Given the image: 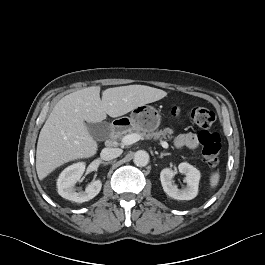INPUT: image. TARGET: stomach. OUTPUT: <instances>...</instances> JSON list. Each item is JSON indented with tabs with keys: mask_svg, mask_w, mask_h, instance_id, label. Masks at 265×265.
Segmentation results:
<instances>
[{
	"mask_svg": "<svg viewBox=\"0 0 265 265\" xmlns=\"http://www.w3.org/2000/svg\"><path fill=\"white\" fill-rule=\"evenodd\" d=\"M121 119L126 123L127 127L143 132H152L161 123L159 111L149 105L138 106L132 110L130 117H123Z\"/></svg>",
	"mask_w": 265,
	"mask_h": 265,
	"instance_id": "0dacf381",
	"label": "stomach"
}]
</instances>
